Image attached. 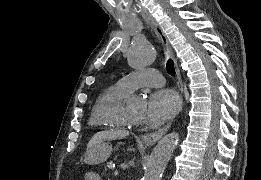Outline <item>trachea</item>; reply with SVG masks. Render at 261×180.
<instances>
[{"instance_id": "trachea-1", "label": "trachea", "mask_w": 261, "mask_h": 180, "mask_svg": "<svg viewBox=\"0 0 261 180\" xmlns=\"http://www.w3.org/2000/svg\"><path fill=\"white\" fill-rule=\"evenodd\" d=\"M166 70L169 75L174 76L175 75V68H174V62L172 59H168L166 64Z\"/></svg>"}]
</instances>
